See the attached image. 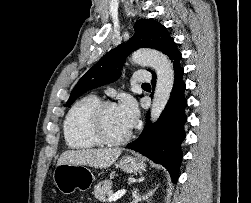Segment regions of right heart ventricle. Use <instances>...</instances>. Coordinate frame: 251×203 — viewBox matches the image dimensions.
<instances>
[{
  "label": "right heart ventricle",
  "mask_w": 251,
  "mask_h": 203,
  "mask_svg": "<svg viewBox=\"0 0 251 203\" xmlns=\"http://www.w3.org/2000/svg\"><path fill=\"white\" fill-rule=\"evenodd\" d=\"M99 102L97 96L87 95L77 100L68 110L63 123V133L69 148L87 150L100 144L88 129L89 115Z\"/></svg>",
  "instance_id": "e07e8e85"
}]
</instances>
